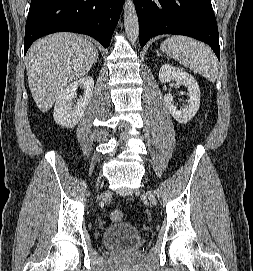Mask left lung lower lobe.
Here are the masks:
<instances>
[{
	"mask_svg": "<svg viewBox=\"0 0 253 271\" xmlns=\"http://www.w3.org/2000/svg\"><path fill=\"white\" fill-rule=\"evenodd\" d=\"M140 46L156 35L177 34L207 43L220 60L219 34L211 0H133Z\"/></svg>",
	"mask_w": 253,
	"mask_h": 271,
	"instance_id": "obj_1",
	"label": "left lung lower lobe"
}]
</instances>
